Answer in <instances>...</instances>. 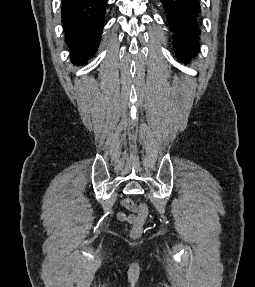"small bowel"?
Masks as SVG:
<instances>
[{
	"label": "small bowel",
	"instance_id": "small-bowel-1",
	"mask_svg": "<svg viewBox=\"0 0 255 287\" xmlns=\"http://www.w3.org/2000/svg\"><path fill=\"white\" fill-rule=\"evenodd\" d=\"M123 206L127 208L128 210H132V211L135 210V206L130 199H124ZM117 219L121 222H128L130 224H134L136 220V215L135 214L126 215L124 212H119L117 214Z\"/></svg>",
	"mask_w": 255,
	"mask_h": 287
}]
</instances>
